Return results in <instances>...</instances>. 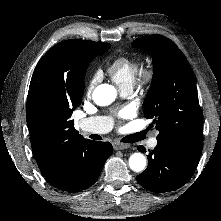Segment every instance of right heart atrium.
<instances>
[{"instance_id": "obj_1", "label": "right heart atrium", "mask_w": 221, "mask_h": 221, "mask_svg": "<svg viewBox=\"0 0 221 221\" xmlns=\"http://www.w3.org/2000/svg\"><path fill=\"white\" fill-rule=\"evenodd\" d=\"M97 82V75H93L88 85V91H91Z\"/></svg>"}]
</instances>
